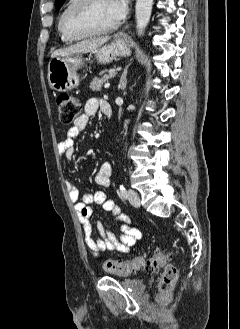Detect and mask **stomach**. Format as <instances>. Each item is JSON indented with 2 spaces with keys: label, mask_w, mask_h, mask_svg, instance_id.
Listing matches in <instances>:
<instances>
[{
  "label": "stomach",
  "mask_w": 240,
  "mask_h": 329,
  "mask_svg": "<svg viewBox=\"0 0 240 329\" xmlns=\"http://www.w3.org/2000/svg\"><path fill=\"white\" fill-rule=\"evenodd\" d=\"M100 63H110L117 56L130 55V49L122 38H116L111 44L94 51ZM83 65L79 54L52 57L48 64V82L57 92H66L79 85L78 69Z\"/></svg>",
  "instance_id": "1"
}]
</instances>
